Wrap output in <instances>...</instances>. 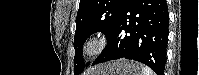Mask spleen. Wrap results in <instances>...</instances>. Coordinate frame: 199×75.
<instances>
[{"mask_svg":"<svg viewBox=\"0 0 199 75\" xmlns=\"http://www.w3.org/2000/svg\"><path fill=\"white\" fill-rule=\"evenodd\" d=\"M141 68H142L141 75H154V72L150 68L145 66H141Z\"/></svg>","mask_w":199,"mask_h":75,"instance_id":"3e777b00","label":"spleen"}]
</instances>
